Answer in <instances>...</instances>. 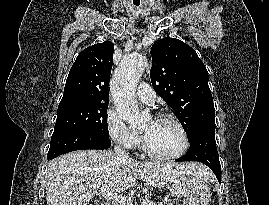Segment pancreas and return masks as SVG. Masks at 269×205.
<instances>
[{
	"label": "pancreas",
	"mask_w": 269,
	"mask_h": 205,
	"mask_svg": "<svg viewBox=\"0 0 269 205\" xmlns=\"http://www.w3.org/2000/svg\"><path fill=\"white\" fill-rule=\"evenodd\" d=\"M147 200H142V205H172L169 201H163V202H149L146 203Z\"/></svg>",
	"instance_id": "cf45deb5"
}]
</instances>
